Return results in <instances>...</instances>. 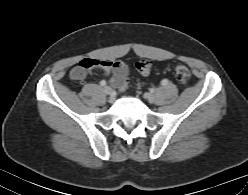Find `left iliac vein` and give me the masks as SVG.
<instances>
[{"label":"left iliac vein","instance_id":"obj_1","mask_svg":"<svg viewBox=\"0 0 248 195\" xmlns=\"http://www.w3.org/2000/svg\"><path fill=\"white\" fill-rule=\"evenodd\" d=\"M145 97L148 100V102H150V103H154L156 100L155 94H153V93H146Z\"/></svg>","mask_w":248,"mask_h":195}]
</instances>
